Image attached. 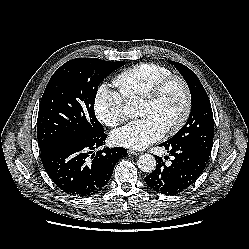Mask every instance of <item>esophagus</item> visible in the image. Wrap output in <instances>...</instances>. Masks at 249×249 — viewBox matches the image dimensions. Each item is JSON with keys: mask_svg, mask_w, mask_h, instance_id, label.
Segmentation results:
<instances>
[{"mask_svg": "<svg viewBox=\"0 0 249 249\" xmlns=\"http://www.w3.org/2000/svg\"><path fill=\"white\" fill-rule=\"evenodd\" d=\"M128 154H129V155H139L140 152L133 151V150H128Z\"/></svg>", "mask_w": 249, "mask_h": 249, "instance_id": "esophagus-1", "label": "esophagus"}]
</instances>
